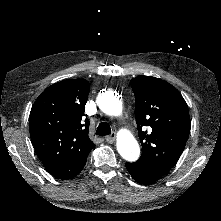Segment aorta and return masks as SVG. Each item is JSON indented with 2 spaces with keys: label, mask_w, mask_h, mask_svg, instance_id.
I'll use <instances>...</instances> for the list:
<instances>
[{
  "label": "aorta",
  "mask_w": 221,
  "mask_h": 221,
  "mask_svg": "<svg viewBox=\"0 0 221 221\" xmlns=\"http://www.w3.org/2000/svg\"><path fill=\"white\" fill-rule=\"evenodd\" d=\"M100 109L107 115L119 116L122 113V102L112 92H107L99 99ZM117 150L127 161H137L140 156V147L134 136L126 130H122L117 136Z\"/></svg>",
  "instance_id": "1"
}]
</instances>
